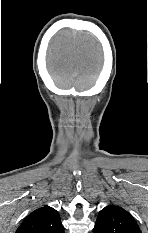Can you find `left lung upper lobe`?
Returning a JSON list of instances; mask_svg holds the SVG:
<instances>
[{"label":"left lung upper lobe","mask_w":148,"mask_h":233,"mask_svg":"<svg viewBox=\"0 0 148 233\" xmlns=\"http://www.w3.org/2000/svg\"><path fill=\"white\" fill-rule=\"evenodd\" d=\"M93 233H141V230L127 211L109 205L99 212Z\"/></svg>","instance_id":"5c2ea615"}]
</instances>
